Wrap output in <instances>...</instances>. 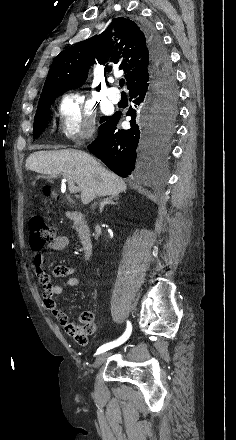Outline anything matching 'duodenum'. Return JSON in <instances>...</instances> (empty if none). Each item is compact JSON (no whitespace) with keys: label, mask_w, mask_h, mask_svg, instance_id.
I'll return each instance as SVG.
<instances>
[{"label":"duodenum","mask_w":236,"mask_h":440,"mask_svg":"<svg viewBox=\"0 0 236 440\" xmlns=\"http://www.w3.org/2000/svg\"><path fill=\"white\" fill-rule=\"evenodd\" d=\"M66 216L77 228L84 257L90 258L93 253V242L84 214L80 211L68 210L66 211Z\"/></svg>","instance_id":"410a0bca"}]
</instances>
